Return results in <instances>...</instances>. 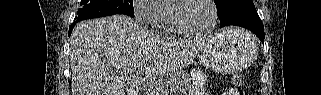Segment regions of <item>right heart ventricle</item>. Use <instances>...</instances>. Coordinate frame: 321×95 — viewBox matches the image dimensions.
<instances>
[{"mask_svg": "<svg viewBox=\"0 0 321 95\" xmlns=\"http://www.w3.org/2000/svg\"><path fill=\"white\" fill-rule=\"evenodd\" d=\"M171 1H162L159 2V14L152 23L154 27L163 28L165 30H169L167 21H166V13H167V7L170 4Z\"/></svg>", "mask_w": 321, "mask_h": 95, "instance_id": "e07e8e85", "label": "right heart ventricle"}]
</instances>
